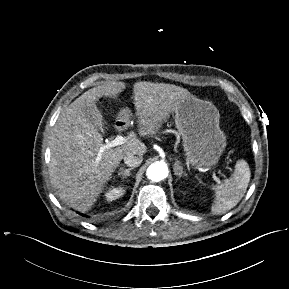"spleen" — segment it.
<instances>
[{
  "instance_id": "3e777b00",
  "label": "spleen",
  "mask_w": 289,
  "mask_h": 289,
  "mask_svg": "<svg viewBox=\"0 0 289 289\" xmlns=\"http://www.w3.org/2000/svg\"><path fill=\"white\" fill-rule=\"evenodd\" d=\"M250 168L248 163L241 159L236 162L232 176L223 183L214 185V202L211 207L213 214H223L235 207L244 196L250 182Z\"/></svg>"
}]
</instances>
